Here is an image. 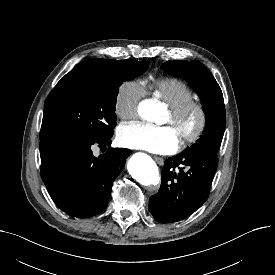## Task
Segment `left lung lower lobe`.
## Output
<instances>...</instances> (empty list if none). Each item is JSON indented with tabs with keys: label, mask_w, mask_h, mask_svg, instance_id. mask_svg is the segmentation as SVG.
<instances>
[{
	"label": "left lung lower lobe",
	"mask_w": 275,
	"mask_h": 275,
	"mask_svg": "<svg viewBox=\"0 0 275 275\" xmlns=\"http://www.w3.org/2000/svg\"><path fill=\"white\" fill-rule=\"evenodd\" d=\"M217 153L182 152L165 161L159 192L150 197L149 211L161 223L180 221L207 200L217 169Z\"/></svg>",
	"instance_id": "0a47b994"
}]
</instances>
